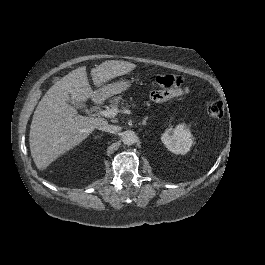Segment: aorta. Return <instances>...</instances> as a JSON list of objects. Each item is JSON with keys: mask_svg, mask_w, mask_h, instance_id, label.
I'll list each match as a JSON object with an SVG mask.
<instances>
[{"mask_svg": "<svg viewBox=\"0 0 265 265\" xmlns=\"http://www.w3.org/2000/svg\"><path fill=\"white\" fill-rule=\"evenodd\" d=\"M122 140L125 144L131 145L136 141V134L133 130H126L122 134Z\"/></svg>", "mask_w": 265, "mask_h": 265, "instance_id": "aorta-1", "label": "aorta"}]
</instances>
